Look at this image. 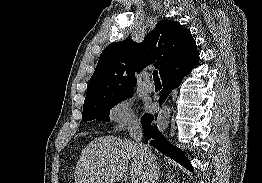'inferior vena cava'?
Listing matches in <instances>:
<instances>
[{"label":"inferior vena cava","mask_w":262,"mask_h":183,"mask_svg":"<svg viewBox=\"0 0 262 183\" xmlns=\"http://www.w3.org/2000/svg\"><path fill=\"white\" fill-rule=\"evenodd\" d=\"M129 134L136 141L143 160L142 183H156L158 178L157 160L147 145L141 142L143 132L139 121H135L130 126Z\"/></svg>","instance_id":"1"}]
</instances>
